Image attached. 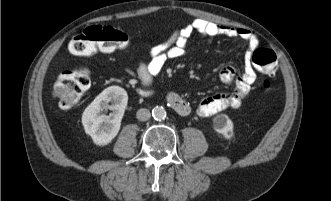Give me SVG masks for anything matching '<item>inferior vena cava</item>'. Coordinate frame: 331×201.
I'll return each instance as SVG.
<instances>
[{"label":"inferior vena cava","mask_w":331,"mask_h":201,"mask_svg":"<svg viewBox=\"0 0 331 201\" xmlns=\"http://www.w3.org/2000/svg\"><path fill=\"white\" fill-rule=\"evenodd\" d=\"M136 117L140 121H147L151 117V113L148 109L146 108H141L137 111Z\"/></svg>","instance_id":"602c4592"}]
</instances>
